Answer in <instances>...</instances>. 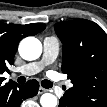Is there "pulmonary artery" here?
<instances>
[{
	"label": "pulmonary artery",
	"instance_id": "pulmonary-artery-1",
	"mask_svg": "<svg viewBox=\"0 0 107 107\" xmlns=\"http://www.w3.org/2000/svg\"><path fill=\"white\" fill-rule=\"evenodd\" d=\"M59 53V41L55 37H47L43 41V56L38 62L28 63L22 66L18 72L30 76L40 72L46 65L52 63Z\"/></svg>",
	"mask_w": 107,
	"mask_h": 107
}]
</instances>
